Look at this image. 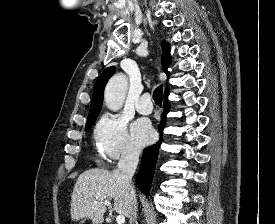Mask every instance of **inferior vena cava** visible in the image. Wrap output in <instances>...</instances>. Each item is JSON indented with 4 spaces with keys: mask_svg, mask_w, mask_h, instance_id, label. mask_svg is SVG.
<instances>
[{
    "mask_svg": "<svg viewBox=\"0 0 275 224\" xmlns=\"http://www.w3.org/2000/svg\"><path fill=\"white\" fill-rule=\"evenodd\" d=\"M139 155V149L128 147L122 152L121 158L117 165L121 174V179L128 192L130 224H137V201L135 190L132 184V177L138 165Z\"/></svg>",
    "mask_w": 275,
    "mask_h": 224,
    "instance_id": "inferior-vena-cava-1",
    "label": "inferior vena cava"
}]
</instances>
